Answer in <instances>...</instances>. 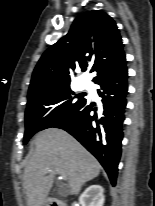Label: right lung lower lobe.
I'll return each mask as SVG.
<instances>
[{
	"instance_id": "right-lung-lower-lobe-1",
	"label": "right lung lower lobe",
	"mask_w": 155,
	"mask_h": 206,
	"mask_svg": "<svg viewBox=\"0 0 155 206\" xmlns=\"http://www.w3.org/2000/svg\"><path fill=\"white\" fill-rule=\"evenodd\" d=\"M127 78L125 62L117 71L95 82L100 86L98 94L103 104L98 114L96 106L85 99L72 113L53 126L70 133L91 152L106 170L112 185L116 183L121 155Z\"/></svg>"
}]
</instances>
